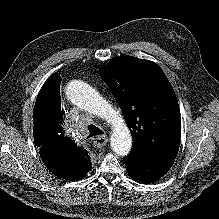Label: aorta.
<instances>
[{"instance_id":"1","label":"aorta","mask_w":219,"mask_h":219,"mask_svg":"<svg viewBox=\"0 0 219 219\" xmlns=\"http://www.w3.org/2000/svg\"><path fill=\"white\" fill-rule=\"evenodd\" d=\"M67 98L77 107L103 119L111 127V147L119 156L131 151L132 136L125 120L114 106L87 83L74 80L66 87Z\"/></svg>"}]
</instances>
